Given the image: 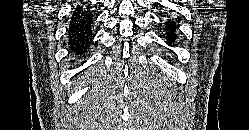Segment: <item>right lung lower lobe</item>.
<instances>
[{"instance_id":"98d812e1","label":"right lung lower lobe","mask_w":249,"mask_h":130,"mask_svg":"<svg viewBox=\"0 0 249 130\" xmlns=\"http://www.w3.org/2000/svg\"><path fill=\"white\" fill-rule=\"evenodd\" d=\"M94 25V13L90 5H78L70 19L67 29L69 50L78 57H85L84 54L91 45L92 26Z\"/></svg>"}]
</instances>
